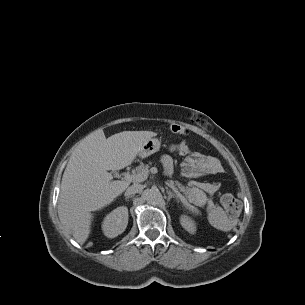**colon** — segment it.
<instances>
[{"label":"colon","instance_id":"colon-1","mask_svg":"<svg viewBox=\"0 0 305 305\" xmlns=\"http://www.w3.org/2000/svg\"><path fill=\"white\" fill-rule=\"evenodd\" d=\"M170 131L180 136L188 135V130L180 125L173 124ZM221 204L230 217L236 216L240 211V203L232 194H225L221 199Z\"/></svg>","mask_w":305,"mask_h":305}]
</instances>
